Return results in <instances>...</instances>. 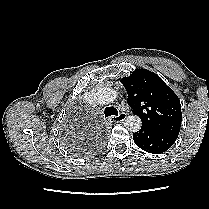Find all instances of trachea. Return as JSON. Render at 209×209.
<instances>
[{
	"mask_svg": "<svg viewBox=\"0 0 209 209\" xmlns=\"http://www.w3.org/2000/svg\"><path fill=\"white\" fill-rule=\"evenodd\" d=\"M104 114H105V117L112 116V115L118 116V111L114 107H106L104 110Z\"/></svg>",
	"mask_w": 209,
	"mask_h": 209,
	"instance_id": "1",
	"label": "trachea"
}]
</instances>
